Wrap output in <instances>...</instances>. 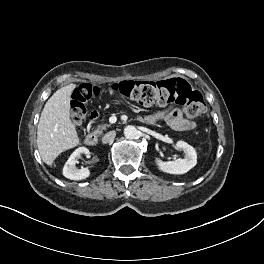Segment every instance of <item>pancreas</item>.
Here are the masks:
<instances>
[{
    "label": "pancreas",
    "instance_id": "pancreas-1",
    "mask_svg": "<svg viewBox=\"0 0 264 264\" xmlns=\"http://www.w3.org/2000/svg\"><path fill=\"white\" fill-rule=\"evenodd\" d=\"M111 125L110 124H102V125H98L97 129L95 130L96 134H102V132L104 130H106L107 128H109Z\"/></svg>",
    "mask_w": 264,
    "mask_h": 264
}]
</instances>
